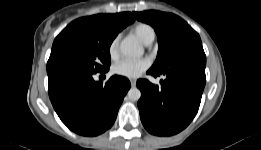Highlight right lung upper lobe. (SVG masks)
<instances>
[{"mask_svg": "<svg viewBox=\"0 0 261 150\" xmlns=\"http://www.w3.org/2000/svg\"><path fill=\"white\" fill-rule=\"evenodd\" d=\"M92 20H98L107 22L119 27H126L127 25L134 22L135 18L133 17V14L130 12H123V13H117V14H98L90 17H85Z\"/></svg>", "mask_w": 261, "mask_h": 150, "instance_id": "right-lung-upper-lobe-1", "label": "right lung upper lobe"}]
</instances>
